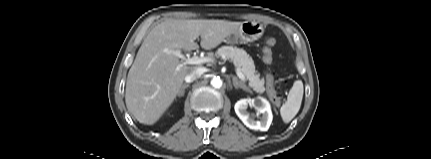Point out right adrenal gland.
Masks as SVG:
<instances>
[{
	"instance_id": "2a0ac1e0",
	"label": "right adrenal gland",
	"mask_w": 431,
	"mask_h": 159,
	"mask_svg": "<svg viewBox=\"0 0 431 159\" xmlns=\"http://www.w3.org/2000/svg\"><path fill=\"white\" fill-rule=\"evenodd\" d=\"M189 87V84H184L180 90V93L178 94V96H183L185 93V89Z\"/></svg>"
}]
</instances>
